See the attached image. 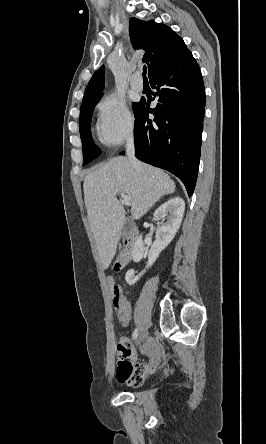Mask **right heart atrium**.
<instances>
[{
  "instance_id": "d8ad5b80",
  "label": "right heart atrium",
  "mask_w": 266,
  "mask_h": 444,
  "mask_svg": "<svg viewBox=\"0 0 266 444\" xmlns=\"http://www.w3.org/2000/svg\"><path fill=\"white\" fill-rule=\"evenodd\" d=\"M97 127L101 142L109 147H118L134 127L133 117L125 102L114 94H108L97 105Z\"/></svg>"
}]
</instances>
